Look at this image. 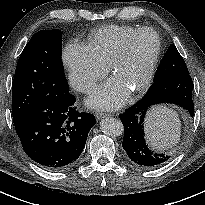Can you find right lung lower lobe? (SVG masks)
Instances as JSON below:
<instances>
[{"instance_id": "98d812e1", "label": "right lung lower lobe", "mask_w": 205, "mask_h": 205, "mask_svg": "<svg viewBox=\"0 0 205 205\" xmlns=\"http://www.w3.org/2000/svg\"><path fill=\"white\" fill-rule=\"evenodd\" d=\"M75 101L69 92L48 98L15 125L25 153L44 168L73 166L85 147L96 119L78 112Z\"/></svg>"}]
</instances>
